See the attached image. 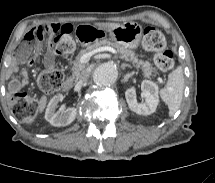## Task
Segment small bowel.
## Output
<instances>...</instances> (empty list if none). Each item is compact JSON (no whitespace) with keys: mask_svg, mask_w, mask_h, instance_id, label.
Instances as JSON below:
<instances>
[{"mask_svg":"<svg viewBox=\"0 0 215 183\" xmlns=\"http://www.w3.org/2000/svg\"><path fill=\"white\" fill-rule=\"evenodd\" d=\"M71 28L69 24H62V23H43L39 25H35L33 28H31L29 31H27L23 37L22 43L20 45V51L23 53L26 50V47L28 45H31L34 43V41H37L40 37L45 35H52L60 32L62 29ZM47 64L50 65V60L47 61ZM17 67L15 65H12L8 73H16ZM27 83L26 76H22L20 78L13 79L10 84L11 91H17L23 86H25Z\"/></svg>","mask_w":215,"mask_h":183,"instance_id":"small-bowel-1","label":"small bowel"}]
</instances>
